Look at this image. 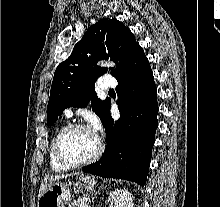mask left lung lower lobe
Instances as JSON below:
<instances>
[{
    "label": "left lung lower lobe",
    "instance_id": "obj_1",
    "mask_svg": "<svg viewBox=\"0 0 220 207\" xmlns=\"http://www.w3.org/2000/svg\"><path fill=\"white\" fill-rule=\"evenodd\" d=\"M115 78L120 119L114 123L110 104L103 120L107 139L105 152L99 161L86 166L83 171L144 186L159 109L153 72L139 44Z\"/></svg>",
    "mask_w": 220,
    "mask_h": 207
}]
</instances>
